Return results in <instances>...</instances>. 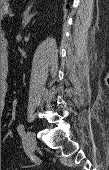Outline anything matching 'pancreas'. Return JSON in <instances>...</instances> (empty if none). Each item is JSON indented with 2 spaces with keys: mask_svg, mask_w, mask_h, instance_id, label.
<instances>
[{
  "mask_svg": "<svg viewBox=\"0 0 109 170\" xmlns=\"http://www.w3.org/2000/svg\"><path fill=\"white\" fill-rule=\"evenodd\" d=\"M11 13V10L8 8L7 5H4L2 8H1V18H5L6 15L10 14Z\"/></svg>",
  "mask_w": 109,
  "mask_h": 170,
  "instance_id": "1",
  "label": "pancreas"
}]
</instances>
